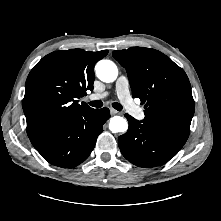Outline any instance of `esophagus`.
<instances>
[{"label":"esophagus","mask_w":221,"mask_h":221,"mask_svg":"<svg viewBox=\"0 0 221 221\" xmlns=\"http://www.w3.org/2000/svg\"><path fill=\"white\" fill-rule=\"evenodd\" d=\"M110 113H111L112 115H116V114H119L120 112L117 111V110H115V109H113V108H111V109H110Z\"/></svg>","instance_id":"34e87169"}]
</instances>
